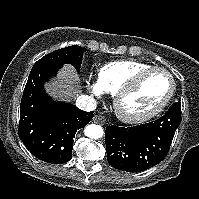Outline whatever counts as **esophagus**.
<instances>
[{"mask_svg": "<svg viewBox=\"0 0 199 199\" xmlns=\"http://www.w3.org/2000/svg\"><path fill=\"white\" fill-rule=\"evenodd\" d=\"M93 122L96 123V124L104 125L105 124V119H104V117H102L100 115H95L93 117Z\"/></svg>", "mask_w": 199, "mask_h": 199, "instance_id": "obj_1", "label": "esophagus"}]
</instances>
